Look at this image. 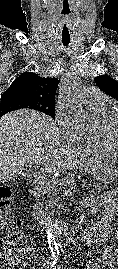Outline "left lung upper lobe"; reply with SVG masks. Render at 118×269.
I'll use <instances>...</instances> for the list:
<instances>
[{"mask_svg": "<svg viewBox=\"0 0 118 269\" xmlns=\"http://www.w3.org/2000/svg\"><path fill=\"white\" fill-rule=\"evenodd\" d=\"M94 81L103 92L118 100V82L115 79L107 75H100Z\"/></svg>", "mask_w": 118, "mask_h": 269, "instance_id": "1", "label": "left lung upper lobe"}]
</instances>
